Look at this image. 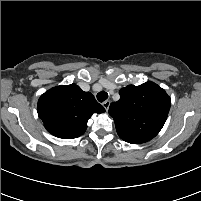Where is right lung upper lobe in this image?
<instances>
[{"mask_svg":"<svg viewBox=\"0 0 201 201\" xmlns=\"http://www.w3.org/2000/svg\"><path fill=\"white\" fill-rule=\"evenodd\" d=\"M37 111L49 133L59 138L73 139L85 132L87 121L93 113H103L105 109L90 92L70 84L51 88L42 94Z\"/></svg>","mask_w":201,"mask_h":201,"instance_id":"right-lung-upper-lobe-1","label":"right lung upper lobe"}]
</instances>
